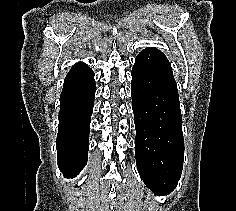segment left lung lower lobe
I'll list each match as a JSON object with an SVG mask.
<instances>
[{"mask_svg":"<svg viewBox=\"0 0 236 211\" xmlns=\"http://www.w3.org/2000/svg\"><path fill=\"white\" fill-rule=\"evenodd\" d=\"M136 165L143 182L160 195L177 186L183 168L184 139L177 85L166 56L142 50L132 69Z\"/></svg>","mask_w":236,"mask_h":211,"instance_id":"1","label":"left lung lower lobe"}]
</instances>
